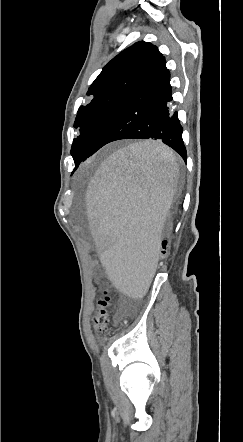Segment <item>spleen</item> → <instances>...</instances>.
Here are the masks:
<instances>
[{"label":"spleen","mask_w":243,"mask_h":442,"mask_svg":"<svg viewBox=\"0 0 243 442\" xmlns=\"http://www.w3.org/2000/svg\"><path fill=\"white\" fill-rule=\"evenodd\" d=\"M177 161L160 142L142 141L112 154L93 172L87 193L96 256L122 296H146L161 251L163 219L171 214ZM158 192V193H141Z\"/></svg>","instance_id":"3e777b00"}]
</instances>
